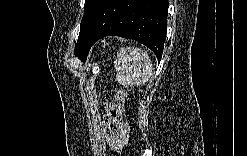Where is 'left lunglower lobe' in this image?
<instances>
[{"instance_id": "obj_1", "label": "left lung lower lobe", "mask_w": 247, "mask_h": 156, "mask_svg": "<svg viewBox=\"0 0 247 156\" xmlns=\"http://www.w3.org/2000/svg\"><path fill=\"white\" fill-rule=\"evenodd\" d=\"M168 0H106L85 35V60L100 38L116 35L150 48L160 61L167 32Z\"/></svg>"}]
</instances>
